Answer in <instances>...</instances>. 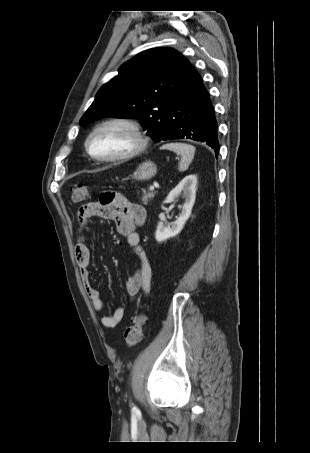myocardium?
<instances>
[{
    "mask_svg": "<svg viewBox=\"0 0 310 453\" xmlns=\"http://www.w3.org/2000/svg\"><path fill=\"white\" fill-rule=\"evenodd\" d=\"M110 126H123L126 129H128L134 137L135 146L131 150H129L125 153L119 154V155H115V156L104 157V156L96 155L91 150V147H90L91 139L98 132H100L103 129L110 127ZM147 146H148V138L146 137L140 124L133 119L123 118V117L111 118V119L105 120V121L97 124L91 130V132L88 134V136L85 140V150L88 153V155L93 160H95L97 162H101V163H114V162L129 160L131 158L138 156L143 151H145Z\"/></svg>",
    "mask_w": 310,
    "mask_h": 453,
    "instance_id": "obj_1",
    "label": "myocardium"
}]
</instances>
